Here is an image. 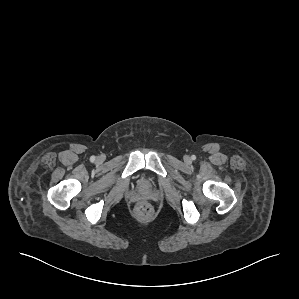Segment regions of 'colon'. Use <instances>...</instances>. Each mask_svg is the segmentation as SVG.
Returning a JSON list of instances; mask_svg holds the SVG:
<instances>
[{"mask_svg": "<svg viewBox=\"0 0 299 299\" xmlns=\"http://www.w3.org/2000/svg\"><path fill=\"white\" fill-rule=\"evenodd\" d=\"M135 213L140 218H148L153 213L152 205L148 201L142 200L136 204Z\"/></svg>", "mask_w": 299, "mask_h": 299, "instance_id": "1", "label": "colon"}]
</instances>
